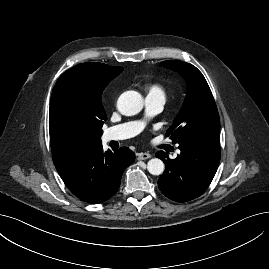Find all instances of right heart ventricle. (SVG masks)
<instances>
[{"instance_id": "e07e8e85", "label": "right heart ventricle", "mask_w": 269, "mask_h": 269, "mask_svg": "<svg viewBox=\"0 0 269 269\" xmlns=\"http://www.w3.org/2000/svg\"><path fill=\"white\" fill-rule=\"evenodd\" d=\"M148 95L160 94L165 96V91L160 84L151 83L147 86Z\"/></svg>"}]
</instances>
